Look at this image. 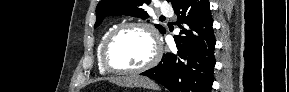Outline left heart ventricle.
<instances>
[{
	"label": "left heart ventricle",
	"mask_w": 289,
	"mask_h": 92,
	"mask_svg": "<svg viewBox=\"0 0 289 92\" xmlns=\"http://www.w3.org/2000/svg\"><path fill=\"white\" fill-rule=\"evenodd\" d=\"M150 35L142 28H128L120 33L111 45L109 59L121 68H137L153 55Z\"/></svg>",
	"instance_id": "1"
}]
</instances>
